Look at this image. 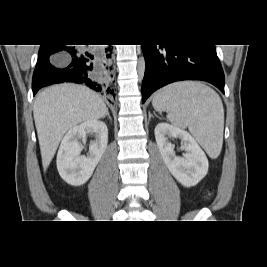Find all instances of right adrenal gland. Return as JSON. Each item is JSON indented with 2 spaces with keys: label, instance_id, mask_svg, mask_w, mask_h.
<instances>
[{
  "label": "right adrenal gland",
  "instance_id": "1",
  "mask_svg": "<svg viewBox=\"0 0 267 267\" xmlns=\"http://www.w3.org/2000/svg\"><path fill=\"white\" fill-rule=\"evenodd\" d=\"M105 116H107V117L109 118V120L112 121V118H111V116H110V114H109L108 109H107V112H106V115H105Z\"/></svg>",
  "mask_w": 267,
  "mask_h": 267
}]
</instances>
